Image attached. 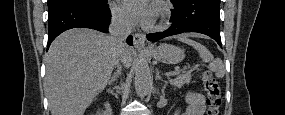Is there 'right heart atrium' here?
<instances>
[{
	"instance_id": "right-heart-atrium-1",
	"label": "right heart atrium",
	"mask_w": 285,
	"mask_h": 115,
	"mask_svg": "<svg viewBox=\"0 0 285 115\" xmlns=\"http://www.w3.org/2000/svg\"><path fill=\"white\" fill-rule=\"evenodd\" d=\"M112 15L114 20L119 24L129 25L131 23L129 14L120 6L112 5Z\"/></svg>"
}]
</instances>
